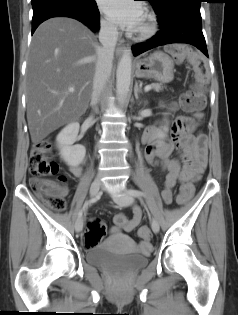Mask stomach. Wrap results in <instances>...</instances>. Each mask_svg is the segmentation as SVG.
Segmentation results:
<instances>
[{
  "label": "stomach",
  "mask_w": 238,
  "mask_h": 315,
  "mask_svg": "<svg viewBox=\"0 0 238 315\" xmlns=\"http://www.w3.org/2000/svg\"><path fill=\"white\" fill-rule=\"evenodd\" d=\"M138 78H150L160 83H168L174 78V63L169 55L156 51L136 62Z\"/></svg>",
  "instance_id": "stomach-1"
}]
</instances>
